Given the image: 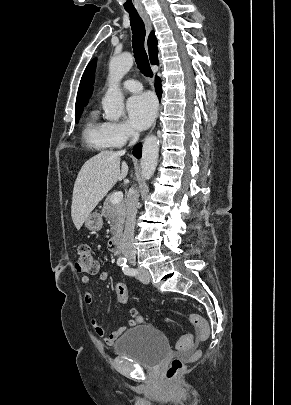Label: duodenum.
I'll use <instances>...</instances> for the list:
<instances>
[{"mask_svg":"<svg viewBox=\"0 0 291 405\" xmlns=\"http://www.w3.org/2000/svg\"><path fill=\"white\" fill-rule=\"evenodd\" d=\"M108 248L113 253H119L122 248V235L115 234L108 242Z\"/></svg>","mask_w":291,"mask_h":405,"instance_id":"1","label":"duodenum"}]
</instances>
